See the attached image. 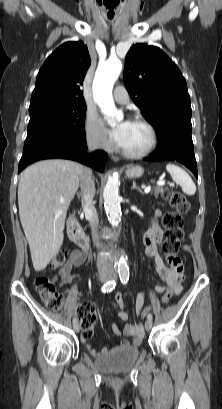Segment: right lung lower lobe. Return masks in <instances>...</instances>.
Returning a JSON list of instances; mask_svg holds the SVG:
<instances>
[{"instance_id": "right-lung-lower-lobe-1", "label": "right lung lower lobe", "mask_w": 222, "mask_h": 409, "mask_svg": "<svg viewBox=\"0 0 222 409\" xmlns=\"http://www.w3.org/2000/svg\"><path fill=\"white\" fill-rule=\"evenodd\" d=\"M86 149H87L86 141L84 140L79 145L75 146L73 150L61 151L51 149H40L32 151L27 154H23L19 162L18 172H21L26 166L35 161L50 158H64L76 160L100 172H103L108 155L104 151H95L92 154H87L84 152Z\"/></svg>"}]
</instances>
